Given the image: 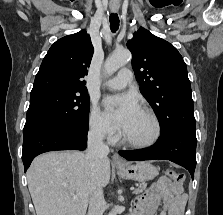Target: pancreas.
Returning <instances> with one entry per match:
<instances>
[{
  "mask_svg": "<svg viewBox=\"0 0 223 215\" xmlns=\"http://www.w3.org/2000/svg\"><path fill=\"white\" fill-rule=\"evenodd\" d=\"M147 183H140L138 189H135L134 193H140V191H143V189H146Z\"/></svg>",
  "mask_w": 223,
  "mask_h": 215,
  "instance_id": "pancreas-1",
  "label": "pancreas"
}]
</instances>
